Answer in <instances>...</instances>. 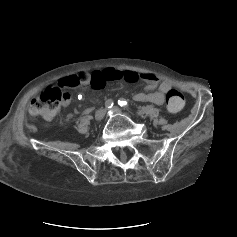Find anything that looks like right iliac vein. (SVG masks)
Segmentation results:
<instances>
[{
  "label": "right iliac vein",
  "mask_w": 237,
  "mask_h": 237,
  "mask_svg": "<svg viewBox=\"0 0 237 237\" xmlns=\"http://www.w3.org/2000/svg\"><path fill=\"white\" fill-rule=\"evenodd\" d=\"M104 115H105V111L103 109L97 110L95 112V120L97 122H100L104 118Z\"/></svg>",
  "instance_id": "63e3f726"
}]
</instances>
